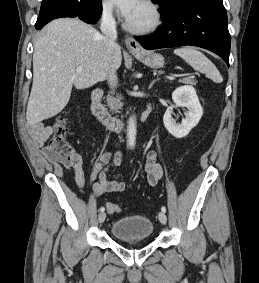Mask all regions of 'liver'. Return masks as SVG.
I'll return each mask as SVG.
<instances>
[{"label":"liver","mask_w":259,"mask_h":283,"mask_svg":"<svg viewBox=\"0 0 259 283\" xmlns=\"http://www.w3.org/2000/svg\"><path fill=\"white\" fill-rule=\"evenodd\" d=\"M121 63V48L115 44L116 70ZM78 66L82 71H76ZM109 67L102 35L94 27L71 18L50 22L34 44L27 123L35 125L56 116L67 105L73 86L80 90L92 87L107 79Z\"/></svg>","instance_id":"1"}]
</instances>
